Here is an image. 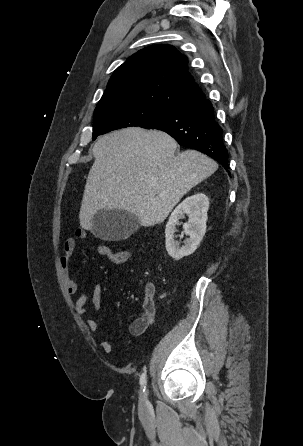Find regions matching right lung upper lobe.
<instances>
[{
  "instance_id": "cb5924a9",
  "label": "right lung upper lobe",
  "mask_w": 303,
  "mask_h": 446,
  "mask_svg": "<svg viewBox=\"0 0 303 446\" xmlns=\"http://www.w3.org/2000/svg\"><path fill=\"white\" fill-rule=\"evenodd\" d=\"M188 60L170 45L150 46L129 57L113 73L96 108L139 104L165 112L205 97L188 72Z\"/></svg>"
}]
</instances>
